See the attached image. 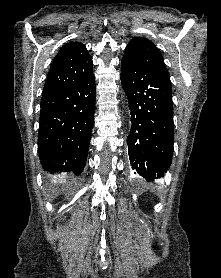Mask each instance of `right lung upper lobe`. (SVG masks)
Here are the masks:
<instances>
[{"label": "right lung upper lobe", "mask_w": 221, "mask_h": 278, "mask_svg": "<svg viewBox=\"0 0 221 278\" xmlns=\"http://www.w3.org/2000/svg\"><path fill=\"white\" fill-rule=\"evenodd\" d=\"M92 60L84 44L71 42L55 56L43 92L76 83L93 73Z\"/></svg>", "instance_id": "cb5924a9"}]
</instances>
